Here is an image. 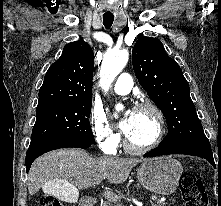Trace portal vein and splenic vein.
Masks as SVG:
<instances>
[{"label":"portal vein and splenic vein","mask_w":221,"mask_h":206,"mask_svg":"<svg viewBox=\"0 0 221 206\" xmlns=\"http://www.w3.org/2000/svg\"><path fill=\"white\" fill-rule=\"evenodd\" d=\"M104 196L111 199V200H115V198H116V196L114 194L110 193V192H105ZM151 199L156 200V197L152 196Z\"/></svg>","instance_id":"18ae733b"}]
</instances>
